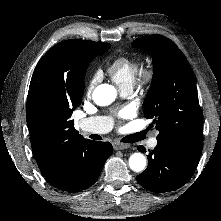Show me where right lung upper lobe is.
I'll list each match as a JSON object with an SVG mask.
<instances>
[{
    "instance_id": "1",
    "label": "right lung upper lobe",
    "mask_w": 221,
    "mask_h": 221,
    "mask_svg": "<svg viewBox=\"0 0 221 221\" xmlns=\"http://www.w3.org/2000/svg\"><path fill=\"white\" fill-rule=\"evenodd\" d=\"M92 41L73 39L53 46L38 62L29 86L27 125L38 166L51 184L63 181L74 151L89 139L79 135L71 119L81 104L82 69L78 55Z\"/></svg>"
}]
</instances>
